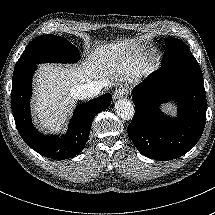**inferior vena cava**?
<instances>
[{
	"label": "inferior vena cava",
	"instance_id": "inferior-vena-cava-1",
	"mask_svg": "<svg viewBox=\"0 0 215 215\" xmlns=\"http://www.w3.org/2000/svg\"><path fill=\"white\" fill-rule=\"evenodd\" d=\"M103 87L104 85L99 81L83 83L78 85L74 90V96L79 100L94 98L100 94Z\"/></svg>",
	"mask_w": 215,
	"mask_h": 215
}]
</instances>
